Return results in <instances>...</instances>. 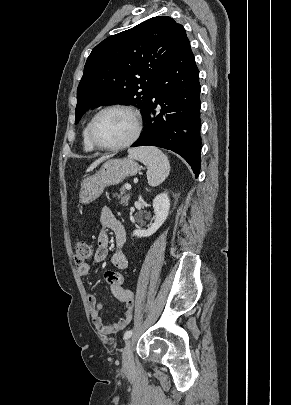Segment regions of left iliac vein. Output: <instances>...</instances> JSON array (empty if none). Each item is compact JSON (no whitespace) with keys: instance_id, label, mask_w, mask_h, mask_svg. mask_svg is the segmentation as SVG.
Returning <instances> with one entry per match:
<instances>
[{"instance_id":"4c4485c4","label":"left iliac vein","mask_w":291,"mask_h":405,"mask_svg":"<svg viewBox=\"0 0 291 405\" xmlns=\"http://www.w3.org/2000/svg\"><path fill=\"white\" fill-rule=\"evenodd\" d=\"M123 369L125 371H131L134 367L133 351L131 341L128 340L123 348Z\"/></svg>"}]
</instances>
